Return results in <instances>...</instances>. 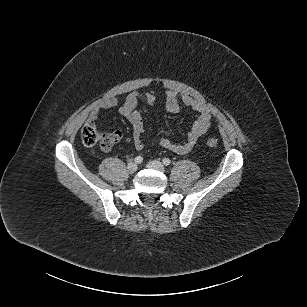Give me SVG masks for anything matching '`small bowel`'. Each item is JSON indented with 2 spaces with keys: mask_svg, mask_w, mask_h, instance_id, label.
Segmentation results:
<instances>
[{
  "mask_svg": "<svg viewBox=\"0 0 307 307\" xmlns=\"http://www.w3.org/2000/svg\"><path fill=\"white\" fill-rule=\"evenodd\" d=\"M164 98L166 109L170 113H177L180 110V105L183 104L192 109L197 115L185 140L181 142H175L169 138H162L160 140V145L163 148L177 154H186L192 150L197 141L209 130L212 121L211 111L205 103L189 96H179L174 91H166ZM155 101L156 97L152 93L131 92L124 98L118 108V114L125 117L132 126L133 144L138 151L144 148L142 141V136L145 131L143 114ZM139 103L143 104L142 108L138 107ZM116 106H118V100L115 97H110L100 102L90 113L88 122L94 123L98 120L103 110Z\"/></svg>",
  "mask_w": 307,
  "mask_h": 307,
  "instance_id": "obj_1",
  "label": "small bowel"
}]
</instances>
